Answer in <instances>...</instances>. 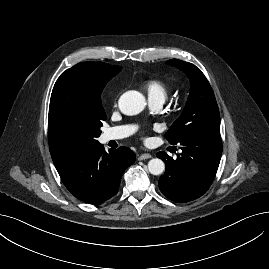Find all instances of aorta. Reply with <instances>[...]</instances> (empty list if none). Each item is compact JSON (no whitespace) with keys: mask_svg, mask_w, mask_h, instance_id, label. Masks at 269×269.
<instances>
[{"mask_svg":"<svg viewBox=\"0 0 269 269\" xmlns=\"http://www.w3.org/2000/svg\"><path fill=\"white\" fill-rule=\"evenodd\" d=\"M145 97L138 91H127L119 99V108L125 115H137L145 108ZM148 170L152 175H160L165 170L164 162L159 158L148 162Z\"/></svg>","mask_w":269,"mask_h":269,"instance_id":"762f6f07","label":"aorta"}]
</instances>
